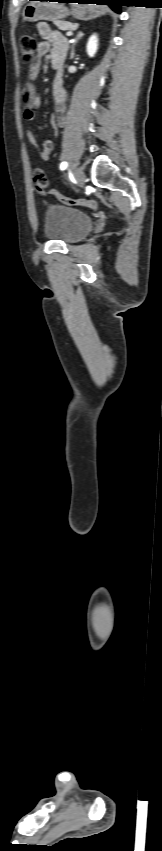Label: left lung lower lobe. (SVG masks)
Segmentation results:
<instances>
[{
	"mask_svg": "<svg viewBox=\"0 0 162 851\" xmlns=\"http://www.w3.org/2000/svg\"><path fill=\"white\" fill-rule=\"evenodd\" d=\"M48 1V0H43ZM59 2H69V0H58ZM82 3H95L98 5H109L115 12L120 13V6H123L125 0H82Z\"/></svg>",
	"mask_w": 162,
	"mask_h": 851,
	"instance_id": "obj_1",
	"label": "left lung lower lobe"
}]
</instances>
